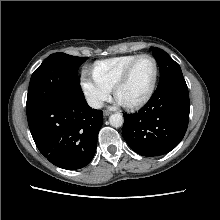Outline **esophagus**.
<instances>
[{"label": "esophagus", "mask_w": 220, "mask_h": 220, "mask_svg": "<svg viewBox=\"0 0 220 220\" xmlns=\"http://www.w3.org/2000/svg\"><path fill=\"white\" fill-rule=\"evenodd\" d=\"M110 114H111V112L108 111V110H105V111L103 112L104 117H107V116H109Z\"/></svg>", "instance_id": "1"}]
</instances>
